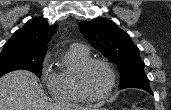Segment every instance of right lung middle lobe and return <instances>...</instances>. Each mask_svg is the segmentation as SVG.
I'll list each match as a JSON object with an SVG mask.
<instances>
[{
    "mask_svg": "<svg viewBox=\"0 0 171 110\" xmlns=\"http://www.w3.org/2000/svg\"><path fill=\"white\" fill-rule=\"evenodd\" d=\"M45 55L24 52L16 47H4L0 54V77L10 71L25 69L41 76Z\"/></svg>",
    "mask_w": 171,
    "mask_h": 110,
    "instance_id": "1",
    "label": "right lung middle lobe"
}]
</instances>
